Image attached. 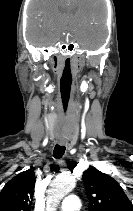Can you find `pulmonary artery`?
I'll return each instance as SVG.
<instances>
[{"instance_id": "pulmonary-artery-1", "label": "pulmonary artery", "mask_w": 133, "mask_h": 211, "mask_svg": "<svg viewBox=\"0 0 133 211\" xmlns=\"http://www.w3.org/2000/svg\"><path fill=\"white\" fill-rule=\"evenodd\" d=\"M61 211H79L80 200L76 195H68L60 205Z\"/></svg>"}]
</instances>
